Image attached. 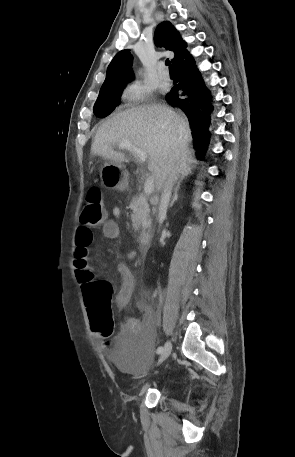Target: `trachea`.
Returning <instances> with one entry per match:
<instances>
[{
	"instance_id": "3493384b",
	"label": "trachea",
	"mask_w": 295,
	"mask_h": 457,
	"mask_svg": "<svg viewBox=\"0 0 295 457\" xmlns=\"http://www.w3.org/2000/svg\"><path fill=\"white\" fill-rule=\"evenodd\" d=\"M165 64L169 67V70H174V67L171 65V62L169 59L166 60Z\"/></svg>"
}]
</instances>
